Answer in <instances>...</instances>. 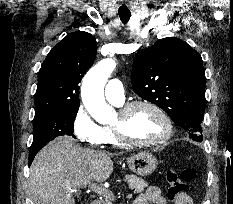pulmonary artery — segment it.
Segmentation results:
<instances>
[{"label": "pulmonary artery", "instance_id": "pulmonary-artery-1", "mask_svg": "<svg viewBox=\"0 0 233 204\" xmlns=\"http://www.w3.org/2000/svg\"><path fill=\"white\" fill-rule=\"evenodd\" d=\"M104 94L107 100L115 104H122L125 99V91L119 79H111L105 86Z\"/></svg>", "mask_w": 233, "mask_h": 204}]
</instances>
